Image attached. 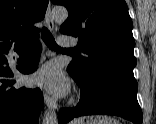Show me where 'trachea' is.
Listing matches in <instances>:
<instances>
[{
	"instance_id": "3493384b",
	"label": "trachea",
	"mask_w": 156,
	"mask_h": 124,
	"mask_svg": "<svg viewBox=\"0 0 156 124\" xmlns=\"http://www.w3.org/2000/svg\"><path fill=\"white\" fill-rule=\"evenodd\" d=\"M42 39L45 42V44L50 49H52V50H57V51H72L71 49H63V48L59 47L56 44L53 35L51 34V32L46 27H43L42 28Z\"/></svg>"
}]
</instances>
